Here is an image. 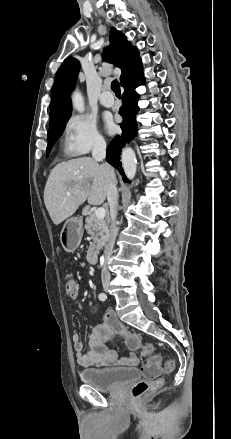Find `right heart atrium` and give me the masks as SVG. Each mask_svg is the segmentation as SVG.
Masks as SVG:
<instances>
[{
	"mask_svg": "<svg viewBox=\"0 0 231 439\" xmlns=\"http://www.w3.org/2000/svg\"><path fill=\"white\" fill-rule=\"evenodd\" d=\"M65 132V148L70 155L81 156L106 147L105 138L99 132L96 121L90 116H71L66 123Z\"/></svg>",
	"mask_w": 231,
	"mask_h": 439,
	"instance_id": "obj_1",
	"label": "right heart atrium"
}]
</instances>
